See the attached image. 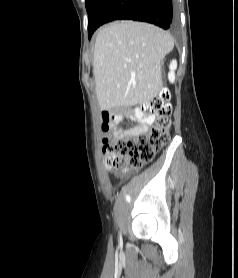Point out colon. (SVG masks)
<instances>
[{"label": "colon", "instance_id": "obj_1", "mask_svg": "<svg viewBox=\"0 0 238 278\" xmlns=\"http://www.w3.org/2000/svg\"><path fill=\"white\" fill-rule=\"evenodd\" d=\"M155 114L153 125L137 131L115 133L104 143L105 165L109 169L125 171L140 168L154 158L170 138L172 106L167 93H162L151 103L144 105ZM108 126L102 125L106 131Z\"/></svg>", "mask_w": 238, "mask_h": 278}]
</instances>
